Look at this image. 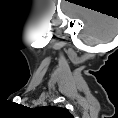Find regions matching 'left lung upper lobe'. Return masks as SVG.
<instances>
[{
    "label": "left lung upper lobe",
    "mask_w": 118,
    "mask_h": 118,
    "mask_svg": "<svg viewBox=\"0 0 118 118\" xmlns=\"http://www.w3.org/2000/svg\"><path fill=\"white\" fill-rule=\"evenodd\" d=\"M45 109L49 110L53 115H69V112L65 108H59V107H53V106H47Z\"/></svg>",
    "instance_id": "1"
}]
</instances>
